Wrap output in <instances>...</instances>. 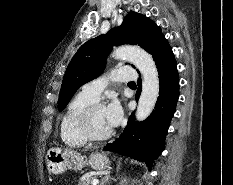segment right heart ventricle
Listing matches in <instances>:
<instances>
[{
  "label": "right heart ventricle",
  "instance_id": "1",
  "mask_svg": "<svg viewBox=\"0 0 233 185\" xmlns=\"http://www.w3.org/2000/svg\"><path fill=\"white\" fill-rule=\"evenodd\" d=\"M92 102L79 93L68 103L60 122V136L66 146L76 148L86 144L78 130L77 120L82 110Z\"/></svg>",
  "mask_w": 233,
  "mask_h": 185
}]
</instances>
